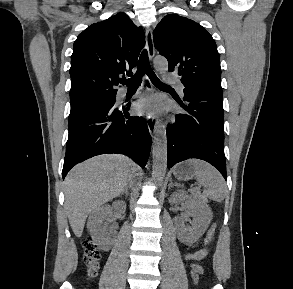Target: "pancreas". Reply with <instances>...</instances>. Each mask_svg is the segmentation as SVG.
Here are the masks:
<instances>
[{
	"mask_svg": "<svg viewBox=\"0 0 293 289\" xmlns=\"http://www.w3.org/2000/svg\"><path fill=\"white\" fill-rule=\"evenodd\" d=\"M191 192L197 198H201L202 197L201 194H200V192H199V190H191Z\"/></svg>",
	"mask_w": 293,
	"mask_h": 289,
	"instance_id": "cf45deb5",
	"label": "pancreas"
}]
</instances>
